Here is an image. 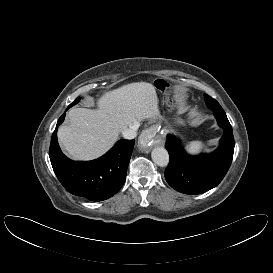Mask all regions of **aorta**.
Returning <instances> with one entry per match:
<instances>
[{
    "instance_id": "aorta-1",
    "label": "aorta",
    "mask_w": 273,
    "mask_h": 273,
    "mask_svg": "<svg viewBox=\"0 0 273 273\" xmlns=\"http://www.w3.org/2000/svg\"><path fill=\"white\" fill-rule=\"evenodd\" d=\"M151 157L153 162L160 167H165L169 163V154L164 147L154 148Z\"/></svg>"
}]
</instances>
